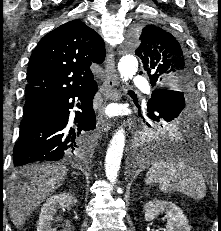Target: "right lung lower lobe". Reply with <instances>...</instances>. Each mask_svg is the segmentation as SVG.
Here are the masks:
<instances>
[{
	"label": "right lung lower lobe",
	"mask_w": 221,
	"mask_h": 231,
	"mask_svg": "<svg viewBox=\"0 0 221 231\" xmlns=\"http://www.w3.org/2000/svg\"><path fill=\"white\" fill-rule=\"evenodd\" d=\"M96 82L88 88L60 91L28 100L20 124L19 139L13 150L14 166L35 161L67 159L84 149L86 132L96 126L92 100ZM75 97L82 112L76 111L72 125L70 109Z\"/></svg>",
	"instance_id": "right-lung-lower-lobe-1"
}]
</instances>
